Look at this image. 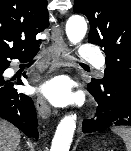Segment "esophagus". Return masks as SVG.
<instances>
[{
	"mask_svg": "<svg viewBox=\"0 0 131 151\" xmlns=\"http://www.w3.org/2000/svg\"><path fill=\"white\" fill-rule=\"evenodd\" d=\"M51 51L53 54L52 70L61 66L66 67L70 63V55L67 50L66 44L62 36V29L59 24L52 26V46ZM36 108L38 114L43 119L49 118L51 108L44 97L38 96L36 99Z\"/></svg>",
	"mask_w": 131,
	"mask_h": 151,
	"instance_id": "obj_1",
	"label": "esophagus"
}]
</instances>
